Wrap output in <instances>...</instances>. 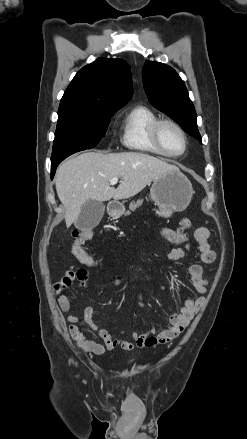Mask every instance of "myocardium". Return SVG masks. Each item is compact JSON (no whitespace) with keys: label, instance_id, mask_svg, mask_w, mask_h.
<instances>
[{"label":"myocardium","instance_id":"f54148a6","mask_svg":"<svg viewBox=\"0 0 247 439\" xmlns=\"http://www.w3.org/2000/svg\"><path fill=\"white\" fill-rule=\"evenodd\" d=\"M165 125H169V126L173 127L181 135V137L183 139V143H184V146H183V149L181 152H179L177 154L169 153L163 147L162 142H161V138H160V132H161L162 127ZM151 138H152L154 145L161 152V154L164 156H167V157H171V158L180 157L186 152V150L188 148V139H187L186 133L184 132L182 127L172 119L164 118V119L157 120L154 123L152 130H151Z\"/></svg>","mask_w":247,"mask_h":439}]
</instances>
